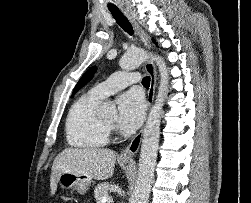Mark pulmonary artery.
I'll return each mask as SVG.
<instances>
[{
    "label": "pulmonary artery",
    "mask_w": 251,
    "mask_h": 203,
    "mask_svg": "<svg viewBox=\"0 0 251 203\" xmlns=\"http://www.w3.org/2000/svg\"><path fill=\"white\" fill-rule=\"evenodd\" d=\"M139 80L140 76L138 73L117 72L111 75L105 81L91 88L89 93L92 96L103 100L122 88L137 83Z\"/></svg>",
    "instance_id": "pulmonary-artery-1"
}]
</instances>
